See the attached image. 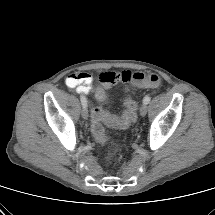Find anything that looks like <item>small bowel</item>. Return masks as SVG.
<instances>
[{"instance_id":"c3829d8e","label":"small bowel","mask_w":215,"mask_h":215,"mask_svg":"<svg viewBox=\"0 0 215 215\" xmlns=\"http://www.w3.org/2000/svg\"><path fill=\"white\" fill-rule=\"evenodd\" d=\"M132 74L133 73L130 71H123L121 73L104 72L100 75V79L105 86L109 87L118 82H131ZM92 82L93 76L88 72L71 74L65 80V83L69 88L76 89V91L82 94V96L92 91ZM102 92L103 91H100L98 93V98Z\"/></svg>"}]
</instances>
